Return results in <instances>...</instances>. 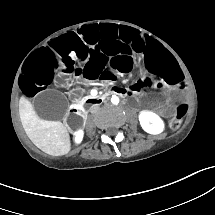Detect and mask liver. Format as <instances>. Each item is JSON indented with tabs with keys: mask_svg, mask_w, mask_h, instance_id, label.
<instances>
[{
	"mask_svg": "<svg viewBox=\"0 0 215 215\" xmlns=\"http://www.w3.org/2000/svg\"><path fill=\"white\" fill-rule=\"evenodd\" d=\"M19 116L25 133L39 149L52 155H63L70 150L69 133L61 122L40 119L24 99L19 102Z\"/></svg>",
	"mask_w": 215,
	"mask_h": 215,
	"instance_id": "obj_1",
	"label": "liver"
}]
</instances>
